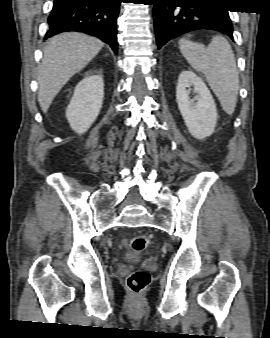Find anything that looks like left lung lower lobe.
Wrapping results in <instances>:
<instances>
[{"mask_svg": "<svg viewBox=\"0 0 270 338\" xmlns=\"http://www.w3.org/2000/svg\"><path fill=\"white\" fill-rule=\"evenodd\" d=\"M158 49L184 33L209 29L225 33L233 40L228 11L218 0H152ZM181 4V6H178Z\"/></svg>", "mask_w": 270, "mask_h": 338, "instance_id": "obj_1", "label": "left lung lower lobe"}]
</instances>
